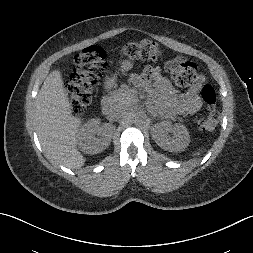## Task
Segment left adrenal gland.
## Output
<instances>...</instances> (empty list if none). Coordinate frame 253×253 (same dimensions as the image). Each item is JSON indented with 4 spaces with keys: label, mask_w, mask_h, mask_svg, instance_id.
Segmentation results:
<instances>
[{
    "label": "left adrenal gland",
    "mask_w": 253,
    "mask_h": 253,
    "mask_svg": "<svg viewBox=\"0 0 253 253\" xmlns=\"http://www.w3.org/2000/svg\"><path fill=\"white\" fill-rule=\"evenodd\" d=\"M153 114V113H152ZM156 116V114L153 115V118Z\"/></svg>",
    "instance_id": "obj_1"
}]
</instances>
